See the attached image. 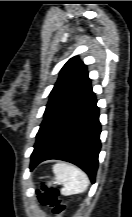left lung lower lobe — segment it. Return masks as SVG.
Returning a JSON list of instances; mask_svg holds the SVG:
<instances>
[{
    "instance_id": "1",
    "label": "left lung lower lobe",
    "mask_w": 132,
    "mask_h": 217,
    "mask_svg": "<svg viewBox=\"0 0 132 217\" xmlns=\"http://www.w3.org/2000/svg\"><path fill=\"white\" fill-rule=\"evenodd\" d=\"M96 104L90 86L45 129L34 146L30 169L44 160H64L83 169L94 183L101 147Z\"/></svg>"
}]
</instances>
